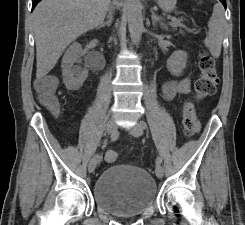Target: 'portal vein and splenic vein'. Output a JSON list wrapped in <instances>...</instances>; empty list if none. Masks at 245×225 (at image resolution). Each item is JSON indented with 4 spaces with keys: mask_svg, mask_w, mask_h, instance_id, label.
Masks as SVG:
<instances>
[{
    "mask_svg": "<svg viewBox=\"0 0 245 225\" xmlns=\"http://www.w3.org/2000/svg\"><path fill=\"white\" fill-rule=\"evenodd\" d=\"M177 21H178V20H177L176 17H172V18H171L170 25H171V26H174V25L176 24Z\"/></svg>",
    "mask_w": 245,
    "mask_h": 225,
    "instance_id": "portal-vein-and-splenic-vein-1",
    "label": "portal vein and splenic vein"
}]
</instances>
